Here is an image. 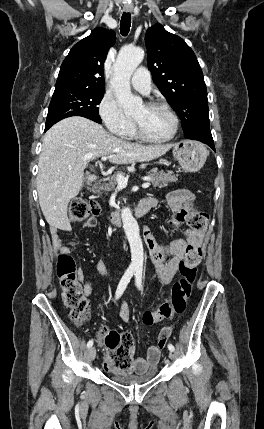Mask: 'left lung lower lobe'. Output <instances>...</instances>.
<instances>
[{
	"mask_svg": "<svg viewBox=\"0 0 264 429\" xmlns=\"http://www.w3.org/2000/svg\"><path fill=\"white\" fill-rule=\"evenodd\" d=\"M189 139H193V140H197V141L203 142V143L207 144L208 146H210L215 151L214 141H213V138H212L210 130L209 131L200 132V133L192 136Z\"/></svg>",
	"mask_w": 264,
	"mask_h": 429,
	"instance_id": "left-lung-lower-lobe-1",
	"label": "left lung lower lobe"
}]
</instances>
